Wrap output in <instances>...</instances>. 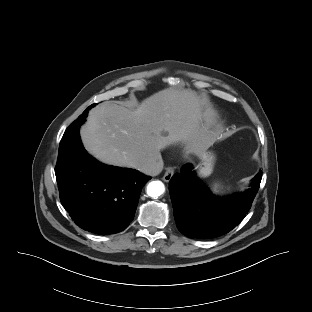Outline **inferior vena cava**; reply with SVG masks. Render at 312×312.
I'll use <instances>...</instances> for the list:
<instances>
[{
    "label": "inferior vena cava",
    "instance_id": "602c4592",
    "mask_svg": "<svg viewBox=\"0 0 312 312\" xmlns=\"http://www.w3.org/2000/svg\"><path fill=\"white\" fill-rule=\"evenodd\" d=\"M162 169H163V160L161 158V155H158L154 158L143 160L137 166V170L146 175L151 176L159 174L162 171Z\"/></svg>",
    "mask_w": 312,
    "mask_h": 312
}]
</instances>
